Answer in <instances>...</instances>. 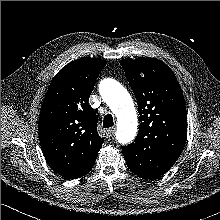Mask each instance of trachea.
I'll return each mask as SVG.
<instances>
[{
    "label": "trachea",
    "instance_id": "obj_1",
    "mask_svg": "<svg viewBox=\"0 0 220 220\" xmlns=\"http://www.w3.org/2000/svg\"><path fill=\"white\" fill-rule=\"evenodd\" d=\"M114 124L113 122V117L111 114H107L105 117H104V121H103V127L104 128H109V127H112Z\"/></svg>",
    "mask_w": 220,
    "mask_h": 220
}]
</instances>
